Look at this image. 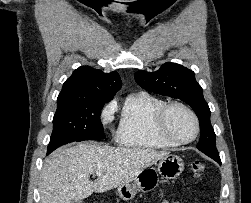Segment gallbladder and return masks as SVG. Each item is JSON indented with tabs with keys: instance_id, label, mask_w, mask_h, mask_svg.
I'll list each match as a JSON object with an SVG mask.
<instances>
[{
	"instance_id": "1",
	"label": "gallbladder",
	"mask_w": 251,
	"mask_h": 203,
	"mask_svg": "<svg viewBox=\"0 0 251 203\" xmlns=\"http://www.w3.org/2000/svg\"><path fill=\"white\" fill-rule=\"evenodd\" d=\"M71 203H82V202L79 200V201H71Z\"/></svg>"
}]
</instances>
